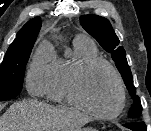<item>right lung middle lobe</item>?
<instances>
[{"label": "right lung middle lobe", "mask_w": 151, "mask_h": 131, "mask_svg": "<svg viewBox=\"0 0 151 131\" xmlns=\"http://www.w3.org/2000/svg\"><path fill=\"white\" fill-rule=\"evenodd\" d=\"M33 45L7 50L0 66V101L15 98L21 92L26 64Z\"/></svg>", "instance_id": "1"}]
</instances>
